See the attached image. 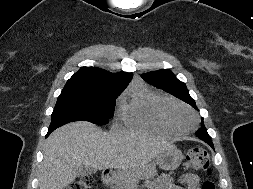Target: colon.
<instances>
[{"mask_svg": "<svg viewBox=\"0 0 253 189\" xmlns=\"http://www.w3.org/2000/svg\"><path fill=\"white\" fill-rule=\"evenodd\" d=\"M186 166L195 170L205 171L210 175V159L207 150L201 147L190 149L186 158ZM92 184V177L85 176L68 185L66 189H92ZM201 189H215V184L211 180H206L202 184Z\"/></svg>", "mask_w": 253, "mask_h": 189, "instance_id": "1", "label": "colon"}]
</instances>
